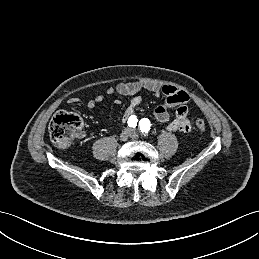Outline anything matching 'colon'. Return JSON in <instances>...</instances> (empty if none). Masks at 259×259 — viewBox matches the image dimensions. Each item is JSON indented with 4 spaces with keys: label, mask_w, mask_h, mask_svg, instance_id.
Segmentation results:
<instances>
[{
    "label": "colon",
    "mask_w": 259,
    "mask_h": 259,
    "mask_svg": "<svg viewBox=\"0 0 259 259\" xmlns=\"http://www.w3.org/2000/svg\"><path fill=\"white\" fill-rule=\"evenodd\" d=\"M82 125V119L77 114L67 112L56 114L49 125V133L53 144L60 149L67 148L81 130ZM194 126L199 133H203L206 129L203 119L195 120Z\"/></svg>",
    "instance_id": "colon-1"
}]
</instances>
